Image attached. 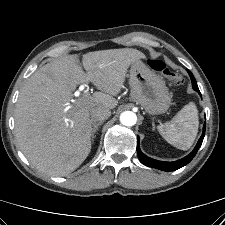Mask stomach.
Wrapping results in <instances>:
<instances>
[{
	"label": "stomach",
	"mask_w": 225,
	"mask_h": 225,
	"mask_svg": "<svg viewBox=\"0 0 225 225\" xmlns=\"http://www.w3.org/2000/svg\"><path fill=\"white\" fill-rule=\"evenodd\" d=\"M129 85L131 99L144 107L147 113H165L171 104V95L162 77L141 60L131 64Z\"/></svg>",
	"instance_id": "obj_1"
}]
</instances>
